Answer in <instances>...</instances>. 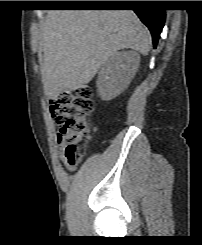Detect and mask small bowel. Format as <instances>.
Segmentation results:
<instances>
[{"label":"small bowel","mask_w":202,"mask_h":245,"mask_svg":"<svg viewBox=\"0 0 202 245\" xmlns=\"http://www.w3.org/2000/svg\"><path fill=\"white\" fill-rule=\"evenodd\" d=\"M53 105H54V104L52 103V107H53ZM70 170H72V168H70Z\"/></svg>","instance_id":"1"}]
</instances>
